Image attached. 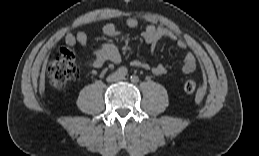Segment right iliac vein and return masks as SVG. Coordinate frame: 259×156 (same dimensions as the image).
I'll use <instances>...</instances> for the list:
<instances>
[{
	"label": "right iliac vein",
	"instance_id": "obj_1",
	"mask_svg": "<svg viewBox=\"0 0 259 156\" xmlns=\"http://www.w3.org/2000/svg\"><path fill=\"white\" fill-rule=\"evenodd\" d=\"M117 80H118V74L117 73H114V74H112L108 77V81H110V82H114V81H117Z\"/></svg>",
	"mask_w": 259,
	"mask_h": 156
}]
</instances>
